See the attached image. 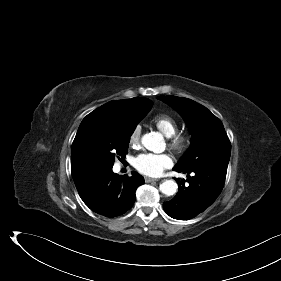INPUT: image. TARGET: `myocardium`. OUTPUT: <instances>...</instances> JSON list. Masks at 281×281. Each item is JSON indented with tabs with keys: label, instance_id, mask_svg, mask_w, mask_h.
Listing matches in <instances>:
<instances>
[{
	"label": "myocardium",
	"instance_id": "1",
	"mask_svg": "<svg viewBox=\"0 0 281 281\" xmlns=\"http://www.w3.org/2000/svg\"><path fill=\"white\" fill-rule=\"evenodd\" d=\"M171 149L178 154L184 153L190 145V138L186 134L176 133L170 137Z\"/></svg>",
	"mask_w": 281,
	"mask_h": 281
}]
</instances>
